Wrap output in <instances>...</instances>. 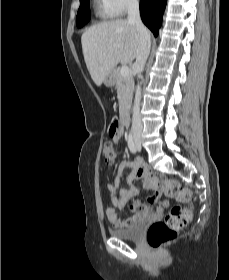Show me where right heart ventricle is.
Segmentation results:
<instances>
[{"label":"right heart ventricle","mask_w":229,"mask_h":280,"mask_svg":"<svg viewBox=\"0 0 229 280\" xmlns=\"http://www.w3.org/2000/svg\"><path fill=\"white\" fill-rule=\"evenodd\" d=\"M95 3H96V6H97V11H98V14L100 16V18H102L103 20H108L110 18H112L113 16L107 12L103 7L102 5L100 4V1L99 0H94Z\"/></svg>","instance_id":"obj_1"}]
</instances>
